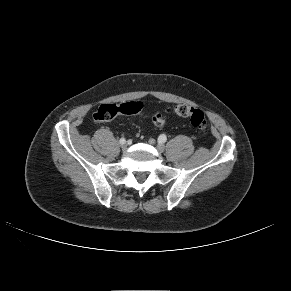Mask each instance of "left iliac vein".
Listing matches in <instances>:
<instances>
[{
    "label": "left iliac vein",
    "mask_w": 291,
    "mask_h": 291,
    "mask_svg": "<svg viewBox=\"0 0 291 291\" xmlns=\"http://www.w3.org/2000/svg\"><path fill=\"white\" fill-rule=\"evenodd\" d=\"M156 147L159 152H164L165 150V146L162 143L157 144Z\"/></svg>",
    "instance_id": "obj_1"
}]
</instances>
